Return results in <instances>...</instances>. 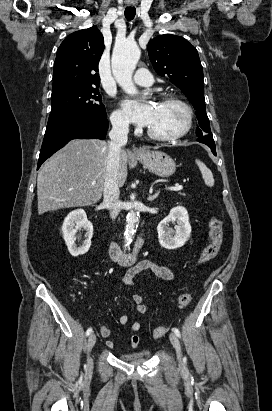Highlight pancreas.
Masks as SVG:
<instances>
[{
    "instance_id": "obj_1",
    "label": "pancreas",
    "mask_w": 272,
    "mask_h": 411,
    "mask_svg": "<svg viewBox=\"0 0 272 411\" xmlns=\"http://www.w3.org/2000/svg\"><path fill=\"white\" fill-rule=\"evenodd\" d=\"M180 195H183V196H185V194H184V193H180Z\"/></svg>"
}]
</instances>
